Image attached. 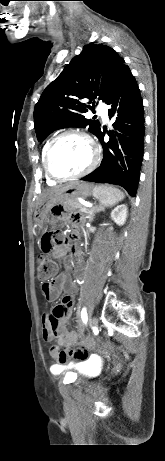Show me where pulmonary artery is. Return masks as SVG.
Returning a JSON list of instances; mask_svg holds the SVG:
<instances>
[{
    "instance_id": "obj_1",
    "label": "pulmonary artery",
    "mask_w": 165,
    "mask_h": 461,
    "mask_svg": "<svg viewBox=\"0 0 165 461\" xmlns=\"http://www.w3.org/2000/svg\"><path fill=\"white\" fill-rule=\"evenodd\" d=\"M97 112L102 116V118L107 121L108 120V113L107 108L105 105L99 104L97 106Z\"/></svg>"
}]
</instances>
